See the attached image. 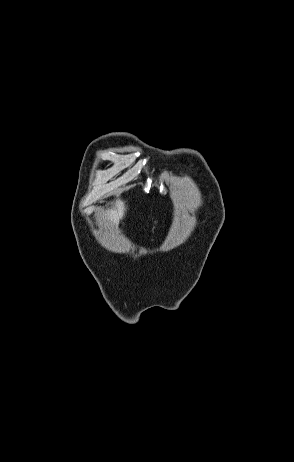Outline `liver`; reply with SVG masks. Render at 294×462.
Wrapping results in <instances>:
<instances>
[{"instance_id": "1", "label": "liver", "mask_w": 294, "mask_h": 462, "mask_svg": "<svg viewBox=\"0 0 294 462\" xmlns=\"http://www.w3.org/2000/svg\"><path fill=\"white\" fill-rule=\"evenodd\" d=\"M117 209L115 210H108L103 213V218L105 217L106 220L113 222L114 225H118L119 219H121L124 215L125 206L122 201H117L116 203Z\"/></svg>"}]
</instances>
